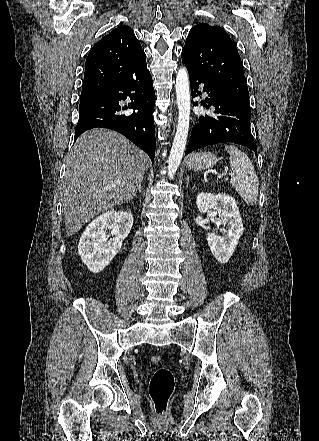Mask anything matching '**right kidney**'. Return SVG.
Wrapping results in <instances>:
<instances>
[{
	"mask_svg": "<svg viewBox=\"0 0 319 441\" xmlns=\"http://www.w3.org/2000/svg\"><path fill=\"white\" fill-rule=\"evenodd\" d=\"M132 225L131 212L111 210L95 218L85 228L78 244V253L91 272L102 271L113 260ZM107 229L112 230L113 238L110 240L106 236Z\"/></svg>",
	"mask_w": 319,
	"mask_h": 441,
	"instance_id": "1",
	"label": "right kidney"
}]
</instances>
